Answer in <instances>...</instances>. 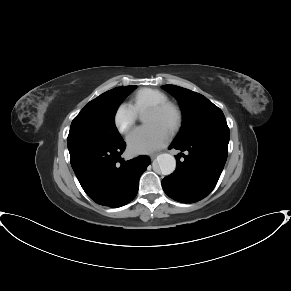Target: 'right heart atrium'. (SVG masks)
Segmentation results:
<instances>
[{"label": "right heart atrium", "mask_w": 291, "mask_h": 291, "mask_svg": "<svg viewBox=\"0 0 291 291\" xmlns=\"http://www.w3.org/2000/svg\"><path fill=\"white\" fill-rule=\"evenodd\" d=\"M137 120V112L127 103L120 104L114 114V124L117 130L122 133H128Z\"/></svg>", "instance_id": "obj_1"}]
</instances>
